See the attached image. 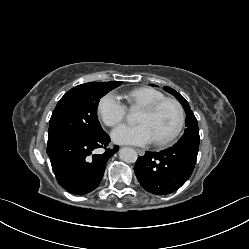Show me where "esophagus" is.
I'll return each mask as SVG.
<instances>
[{
	"mask_svg": "<svg viewBox=\"0 0 249 249\" xmlns=\"http://www.w3.org/2000/svg\"><path fill=\"white\" fill-rule=\"evenodd\" d=\"M135 150H136V152H137L140 156H143L144 153H145V151H144L143 149L136 148Z\"/></svg>",
	"mask_w": 249,
	"mask_h": 249,
	"instance_id": "obj_1",
	"label": "esophagus"
}]
</instances>
